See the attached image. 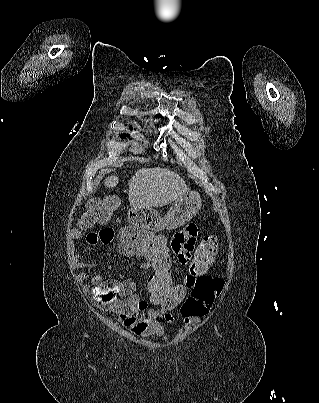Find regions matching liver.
Listing matches in <instances>:
<instances>
[{"label": "liver", "mask_w": 319, "mask_h": 403, "mask_svg": "<svg viewBox=\"0 0 319 403\" xmlns=\"http://www.w3.org/2000/svg\"><path fill=\"white\" fill-rule=\"evenodd\" d=\"M119 178L112 175L104 181L108 188L117 186ZM128 200L134 209L161 207L190 192L185 181L166 168H142L129 180Z\"/></svg>", "instance_id": "obj_1"}]
</instances>
